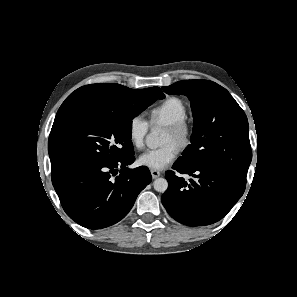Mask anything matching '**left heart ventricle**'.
Masks as SVG:
<instances>
[{"label": "left heart ventricle", "mask_w": 297, "mask_h": 297, "mask_svg": "<svg viewBox=\"0 0 297 297\" xmlns=\"http://www.w3.org/2000/svg\"><path fill=\"white\" fill-rule=\"evenodd\" d=\"M170 142L174 143V138H173V135L168 130H166V133L163 139V144H167Z\"/></svg>", "instance_id": "b2bd125f"}]
</instances>
